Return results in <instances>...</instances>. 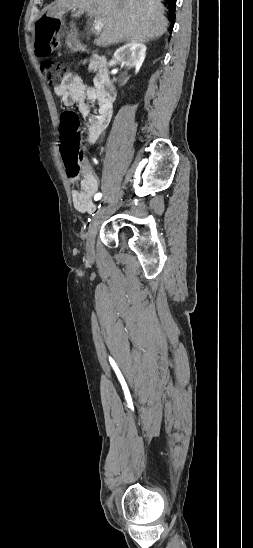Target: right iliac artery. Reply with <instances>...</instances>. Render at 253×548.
<instances>
[{
    "instance_id": "82829eb1",
    "label": "right iliac artery",
    "mask_w": 253,
    "mask_h": 548,
    "mask_svg": "<svg viewBox=\"0 0 253 548\" xmlns=\"http://www.w3.org/2000/svg\"><path fill=\"white\" fill-rule=\"evenodd\" d=\"M101 197H102V194H101V193H97V194L95 195V197H94V200H95V201H98ZM99 208H100V206H99Z\"/></svg>"
}]
</instances>
